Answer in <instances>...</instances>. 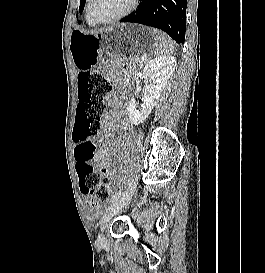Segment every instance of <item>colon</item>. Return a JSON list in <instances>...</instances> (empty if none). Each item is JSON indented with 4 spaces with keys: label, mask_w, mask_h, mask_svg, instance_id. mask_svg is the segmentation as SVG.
Instances as JSON below:
<instances>
[{
    "label": "colon",
    "mask_w": 265,
    "mask_h": 273,
    "mask_svg": "<svg viewBox=\"0 0 265 273\" xmlns=\"http://www.w3.org/2000/svg\"><path fill=\"white\" fill-rule=\"evenodd\" d=\"M111 88L107 78L98 72L81 70L78 74L79 103L71 138L78 143L74 150L75 169L80 189L88 196L89 208L96 207L109 196L106 180L95 169L93 161L96 153L106 147V140L98 134L106 114L104 100Z\"/></svg>",
    "instance_id": "colon-1"
}]
</instances>
